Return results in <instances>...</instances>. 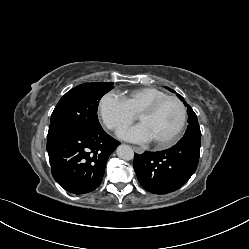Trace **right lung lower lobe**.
<instances>
[{
	"mask_svg": "<svg viewBox=\"0 0 249 249\" xmlns=\"http://www.w3.org/2000/svg\"><path fill=\"white\" fill-rule=\"evenodd\" d=\"M120 142L102 128L79 131L47 141L54 179L68 192L84 194L101 183L106 162Z\"/></svg>",
	"mask_w": 249,
	"mask_h": 249,
	"instance_id": "1",
	"label": "right lung lower lobe"
}]
</instances>
